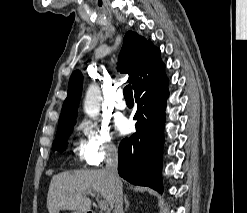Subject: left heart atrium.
Segmentation results:
<instances>
[{
  "mask_svg": "<svg viewBox=\"0 0 247 213\" xmlns=\"http://www.w3.org/2000/svg\"><path fill=\"white\" fill-rule=\"evenodd\" d=\"M115 128L120 134L124 135L130 132L131 123L125 117H119L115 121Z\"/></svg>",
  "mask_w": 247,
  "mask_h": 213,
  "instance_id": "obj_1",
  "label": "left heart atrium"
}]
</instances>
